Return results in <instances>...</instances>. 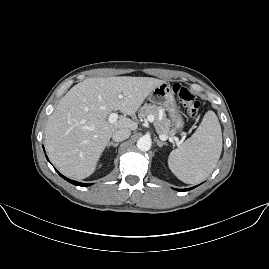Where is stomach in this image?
I'll return each instance as SVG.
<instances>
[{
	"label": "stomach",
	"instance_id": "stomach-1",
	"mask_svg": "<svg viewBox=\"0 0 269 269\" xmlns=\"http://www.w3.org/2000/svg\"><path fill=\"white\" fill-rule=\"evenodd\" d=\"M153 104L162 106L167 112L170 124L174 131L178 134L183 133L185 128V120L178 106L174 92L169 83H163L155 88L149 96Z\"/></svg>",
	"mask_w": 269,
	"mask_h": 269
}]
</instances>
